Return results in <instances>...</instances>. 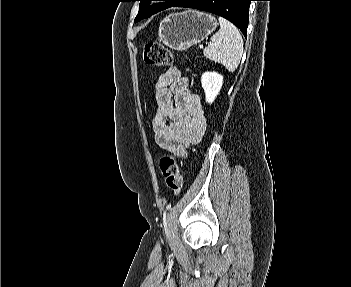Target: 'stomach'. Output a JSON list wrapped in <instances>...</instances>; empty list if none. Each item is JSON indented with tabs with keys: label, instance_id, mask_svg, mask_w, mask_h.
Segmentation results:
<instances>
[{
	"label": "stomach",
	"instance_id": "stomach-1",
	"mask_svg": "<svg viewBox=\"0 0 351 287\" xmlns=\"http://www.w3.org/2000/svg\"><path fill=\"white\" fill-rule=\"evenodd\" d=\"M217 25L213 16L199 11L173 13L161 21L158 40L173 50L185 51L207 38Z\"/></svg>",
	"mask_w": 351,
	"mask_h": 287
}]
</instances>
